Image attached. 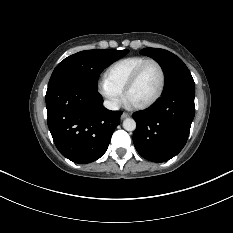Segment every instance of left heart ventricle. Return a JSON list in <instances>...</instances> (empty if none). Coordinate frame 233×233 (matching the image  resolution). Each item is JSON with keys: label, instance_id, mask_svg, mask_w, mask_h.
Segmentation results:
<instances>
[{"label": "left heart ventricle", "instance_id": "1", "mask_svg": "<svg viewBox=\"0 0 233 233\" xmlns=\"http://www.w3.org/2000/svg\"><path fill=\"white\" fill-rule=\"evenodd\" d=\"M161 75L158 67L148 65L142 75L128 93V102L131 105H140L152 99L159 90Z\"/></svg>", "mask_w": 233, "mask_h": 233}]
</instances>
